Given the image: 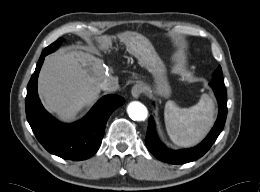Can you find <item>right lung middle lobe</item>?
Listing matches in <instances>:
<instances>
[{
    "mask_svg": "<svg viewBox=\"0 0 260 192\" xmlns=\"http://www.w3.org/2000/svg\"><path fill=\"white\" fill-rule=\"evenodd\" d=\"M61 41H62V38H59L57 41L52 43L50 46L46 47L42 53L47 55V54L54 52L59 47Z\"/></svg>",
    "mask_w": 260,
    "mask_h": 192,
    "instance_id": "1",
    "label": "right lung middle lobe"
}]
</instances>
